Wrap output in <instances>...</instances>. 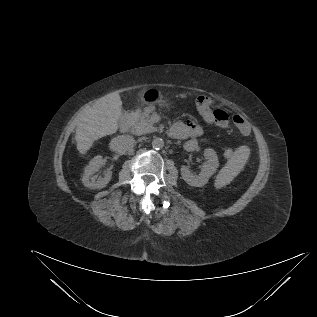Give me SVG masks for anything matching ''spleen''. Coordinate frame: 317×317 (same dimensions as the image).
<instances>
[{
    "instance_id": "1",
    "label": "spleen",
    "mask_w": 317,
    "mask_h": 317,
    "mask_svg": "<svg viewBox=\"0 0 317 317\" xmlns=\"http://www.w3.org/2000/svg\"><path fill=\"white\" fill-rule=\"evenodd\" d=\"M248 157L249 149L245 146L240 147L219 171L214 186L219 189L229 184L243 169Z\"/></svg>"
}]
</instances>
